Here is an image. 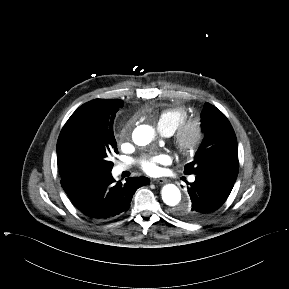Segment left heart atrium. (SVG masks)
<instances>
[{"label": "left heart atrium", "instance_id": "left-heart-atrium-1", "mask_svg": "<svg viewBox=\"0 0 289 289\" xmlns=\"http://www.w3.org/2000/svg\"><path fill=\"white\" fill-rule=\"evenodd\" d=\"M172 157L170 154L165 152L145 154L138 160V164L141 169L149 174L155 175L158 174L161 170V165H167L171 162Z\"/></svg>", "mask_w": 289, "mask_h": 289}]
</instances>
